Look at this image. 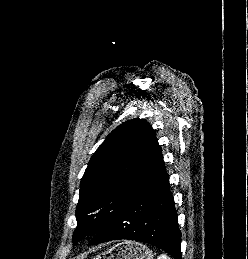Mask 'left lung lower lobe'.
<instances>
[{
  "mask_svg": "<svg viewBox=\"0 0 248 259\" xmlns=\"http://www.w3.org/2000/svg\"><path fill=\"white\" fill-rule=\"evenodd\" d=\"M119 239L146 242L163 249L174 259H181V232L168 175L121 211L94 235L89 245Z\"/></svg>",
  "mask_w": 248,
  "mask_h": 259,
  "instance_id": "left-lung-lower-lobe-1",
  "label": "left lung lower lobe"
}]
</instances>
